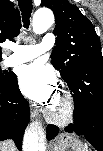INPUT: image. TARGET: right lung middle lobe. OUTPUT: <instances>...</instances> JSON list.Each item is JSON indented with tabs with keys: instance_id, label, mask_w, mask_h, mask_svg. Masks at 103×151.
Wrapping results in <instances>:
<instances>
[{
	"instance_id": "obj_1",
	"label": "right lung middle lobe",
	"mask_w": 103,
	"mask_h": 151,
	"mask_svg": "<svg viewBox=\"0 0 103 151\" xmlns=\"http://www.w3.org/2000/svg\"><path fill=\"white\" fill-rule=\"evenodd\" d=\"M2 59H0L1 61ZM16 80V75L12 72L2 71L0 69V83H12Z\"/></svg>"
}]
</instances>
